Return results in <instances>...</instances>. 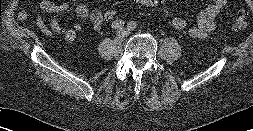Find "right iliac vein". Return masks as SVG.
<instances>
[{
    "label": "right iliac vein",
    "instance_id": "obj_1",
    "mask_svg": "<svg viewBox=\"0 0 253 131\" xmlns=\"http://www.w3.org/2000/svg\"><path fill=\"white\" fill-rule=\"evenodd\" d=\"M125 36V31L124 30H118L116 32V38L117 40H122Z\"/></svg>",
    "mask_w": 253,
    "mask_h": 131
}]
</instances>
